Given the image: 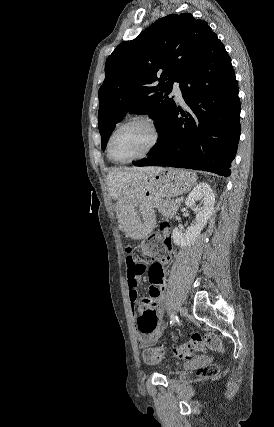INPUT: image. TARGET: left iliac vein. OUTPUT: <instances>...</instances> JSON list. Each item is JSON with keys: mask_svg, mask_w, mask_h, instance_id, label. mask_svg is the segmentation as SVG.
<instances>
[{"mask_svg": "<svg viewBox=\"0 0 274 427\" xmlns=\"http://www.w3.org/2000/svg\"><path fill=\"white\" fill-rule=\"evenodd\" d=\"M179 312H180V315H181L182 317H186V316H187V313H188V310H187V308H186V307H180V308H179Z\"/></svg>", "mask_w": 274, "mask_h": 427, "instance_id": "1", "label": "left iliac vein"}]
</instances>
